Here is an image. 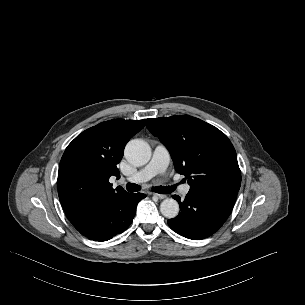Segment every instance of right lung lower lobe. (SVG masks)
Segmentation results:
<instances>
[{
  "instance_id": "obj_1",
  "label": "right lung lower lobe",
  "mask_w": 305,
  "mask_h": 305,
  "mask_svg": "<svg viewBox=\"0 0 305 305\" xmlns=\"http://www.w3.org/2000/svg\"><path fill=\"white\" fill-rule=\"evenodd\" d=\"M141 193H122L102 202L86 205L80 210L66 211L73 226L85 237L107 241L125 231L132 223Z\"/></svg>"
}]
</instances>
